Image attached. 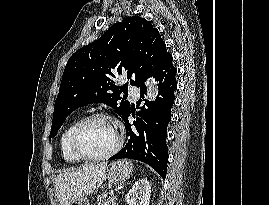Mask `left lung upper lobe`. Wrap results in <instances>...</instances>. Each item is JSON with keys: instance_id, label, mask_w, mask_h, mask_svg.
<instances>
[{"instance_id": "obj_1", "label": "left lung upper lobe", "mask_w": 269, "mask_h": 205, "mask_svg": "<svg viewBox=\"0 0 269 205\" xmlns=\"http://www.w3.org/2000/svg\"><path fill=\"white\" fill-rule=\"evenodd\" d=\"M169 53L159 31L141 17L128 16L112 25L98 40L76 51L68 60L53 114L50 139L66 117L90 103L111 106L123 118L130 104L116 86L118 75L141 87L154 76ZM119 88L121 90H119Z\"/></svg>"}]
</instances>
